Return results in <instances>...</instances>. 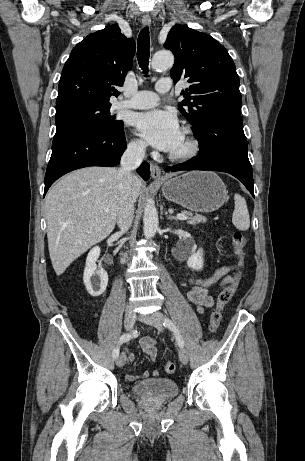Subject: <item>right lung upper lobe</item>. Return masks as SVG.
Listing matches in <instances>:
<instances>
[{
  "label": "right lung upper lobe",
  "mask_w": 305,
  "mask_h": 461,
  "mask_svg": "<svg viewBox=\"0 0 305 461\" xmlns=\"http://www.w3.org/2000/svg\"><path fill=\"white\" fill-rule=\"evenodd\" d=\"M135 41L114 24L88 35L66 61L58 87L56 108L81 102L109 103L120 93L124 76L132 68Z\"/></svg>",
  "instance_id": "cb5924a9"
}]
</instances>
